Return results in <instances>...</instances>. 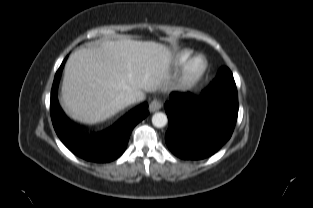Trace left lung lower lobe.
<instances>
[{
	"label": "left lung lower lobe",
	"instance_id": "0a47b994",
	"mask_svg": "<svg viewBox=\"0 0 313 208\" xmlns=\"http://www.w3.org/2000/svg\"><path fill=\"white\" fill-rule=\"evenodd\" d=\"M165 110L169 120L165 136L168 148L182 159L207 158L233 133L238 116L236 84L215 79L199 96L172 92Z\"/></svg>",
	"mask_w": 313,
	"mask_h": 208
}]
</instances>
